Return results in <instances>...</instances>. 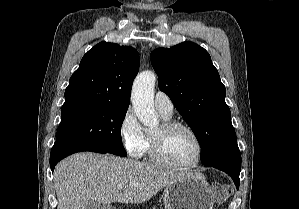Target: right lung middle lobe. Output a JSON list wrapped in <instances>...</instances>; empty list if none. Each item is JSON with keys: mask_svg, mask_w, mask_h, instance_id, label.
<instances>
[{"mask_svg": "<svg viewBox=\"0 0 299 209\" xmlns=\"http://www.w3.org/2000/svg\"><path fill=\"white\" fill-rule=\"evenodd\" d=\"M127 109L103 104L63 105L56 141L96 146L126 156L121 126Z\"/></svg>", "mask_w": 299, "mask_h": 209, "instance_id": "right-lung-middle-lobe-1", "label": "right lung middle lobe"}]
</instances>
